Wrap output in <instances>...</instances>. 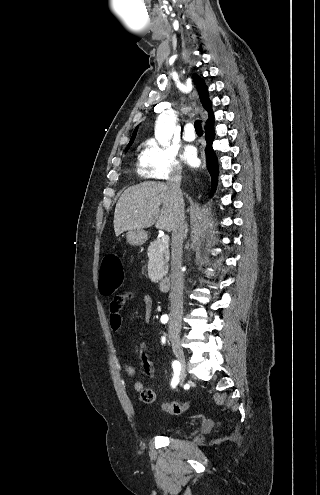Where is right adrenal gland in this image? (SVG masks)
I'll use <instances>...</instances> for the list:
<instances>
[{
    "mask_svg": "<svg viewBox=\"0 0 320 495\" xmlns=\"http://www.w3.org/2000/svg\"><path fill=\"white\" fill-rule=\"evenodd\" d=\"M187 234H188V224L185 222V225H184V238L185 239L187 238Z\"/></svg>",
    "mask_w": 320,
    "mask_h": 495,
    "instance_id": "2a0ac1e0",
    "label": "right adrenal gland"
}]
</instances>
